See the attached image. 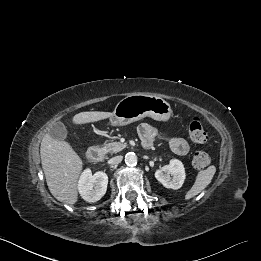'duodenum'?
Returning a JSON list of instances; mask_svg holds the SVG:
<instances>
[{
    "mask_svg": "<svg viewBox=\"0 0 261 261\" xmlns=\"http://www.w3.org/2000/svg\"><path fill=\"white\" fill-rule=\"evenodd\" d=\"M87 158L90 162L98 163L103 158V151L97 146H92L87 151Z\"/></svg>",
    "mask_w": 261,
    "mask_h": 261,
    "instance_id": "obj_1",
    "label": "duodenum"
}]
</instances>
